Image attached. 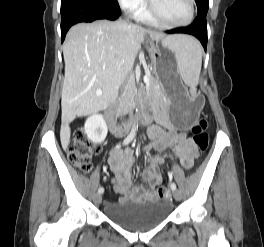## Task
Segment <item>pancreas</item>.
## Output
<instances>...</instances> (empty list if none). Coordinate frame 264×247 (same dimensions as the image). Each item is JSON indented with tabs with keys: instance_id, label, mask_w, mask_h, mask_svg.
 <instances>
[{
	"instance_id": "cf45deb5",
	"label": "pancreas",
	"mask_w": 264,
	"mask_h": 247,
	"mask_svg": "<svg viewBox=\"0 0 264 247\" xmlns=\"http://www.w3.org/2000/svg\"><path fill=\"white\" fill-rule=\"evenodd\" d=\"M148 77L150 79L151 88V92L148 94V100L152 102L154 106H157L163 98L160 82L158 81V79L154 78L151 75H148ZM126 99L128 102L130 101V94H127Z\"/></svg>"
}]
</instances>
